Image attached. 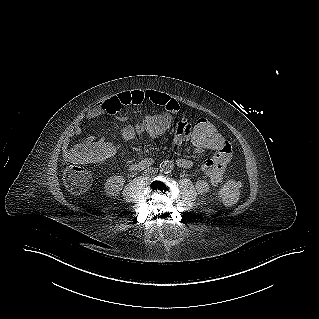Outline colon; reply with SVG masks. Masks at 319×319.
<instances>
[{
    "label": "colon",
    "mask_w": 319,
    "mask_h": 319,
    "mask_svg": "<svg viewBox=\"0 0 319 319\" xmlns=\"http://www.w3.org/2000/svg\"><path fill=\"white\" fill-rule=\"evenodd\" d=\"M171 123L172 119L167 113L154 111L146 119L138 121L136 125L132 123L123 125L120 135L127 142H132L137 137L142 139L151 136L163 138L171 132ZM189 138L199 149L210 153L220 151L219 141L226 140L225 133L220 127L204 119L192 123V134L189 135ZM125 153L124 143L115 137L105 139L100 147L85 142L75 145L65 154L72 164L67 166L63 172L64 186L71 194H83L91 182V174L83 167L84 164L97 162L101 158L107 163L115 164L124 158ZM241 187L240 179L227 180L218 191L219 200L226 206L233 205L239 199Z\"/></svg>",
    "instance_id": "colon-1"
}]
</instances>
